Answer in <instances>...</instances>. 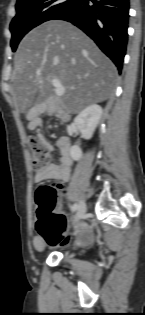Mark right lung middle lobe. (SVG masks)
<instances>
[{
  "instance_id": "dd1d6c3e",
  "label": "right lung middle lobe",
  "mask_w": 145,
  "mask_h": 315,
  "mask_svg": "<svg viewBox=\"0 0 145 315\" xmlns=\"http://www.w3.org/2000/svg\"><path fill=\"white\" fill-rule=\"evenodd\" d=\"M74 0H22L16 4V16L10 24L11 47L15 51L20 40L31 29L54 19Z\"/></svg>"
}]
</instances>
